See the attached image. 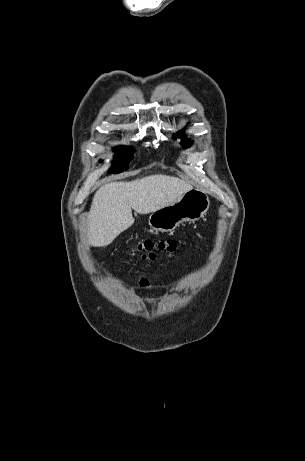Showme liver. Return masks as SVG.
I'll return each instance as SVG.
<instances>
[{
	"instance_id": "liver-1",
	"label": "liver",
	"mask_w": 305,
	"mask_h": 461,
	"mask_svg": "<svg viewBox=\"0 0 305 461\" xmlns=\"http://www.w3.org/2000/svg\"><path fill=\"white\" fill-rule=\"evenodd\" d=\"M192 189L191 184L164 174L101 186L87 220L88 243L94 247L109 245L134 223L132 209L148 214L171 205Z\"/></svg>"
}]
</instances>
